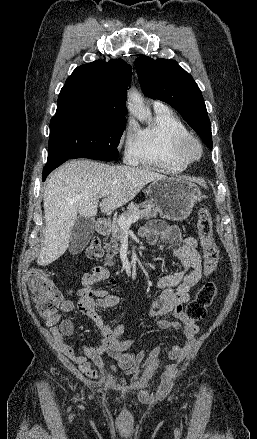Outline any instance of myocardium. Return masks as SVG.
Instances as JSON below:
<instances>
[{
	"instance_id": "myocardium-1",
	"label": "myocardium",
	"mask_w": 257,
	"mask_h": 439,
	"mask_svg": "<svg viewBox=\"0 0 257 439\" xmlns=\"http://www.w3.org/2000/svg\"><path fill=\"white\" fill-rule=\"evenodd\" d=\"M174 150L187 163L198 161L203 155L201 141L191 134L178 138L175 142Z\"/></svg>"
}]
</instances>
